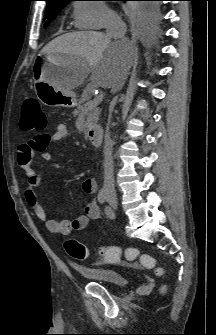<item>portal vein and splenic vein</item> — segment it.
<instances>
[{
  "label": "portal vein and splenic vein",
  "mask_w": 216,
  "mask_h": 335,
  "mask_svg": "<svg viewBox=\"0 0 216 335\" xmlns=\"http://www.w3.org/2000/svg\"><path fill=\"white\" fill-rule=\"evenodd\" d=\"M103 100V94H98L94 97V99L90 102L89 107L92 108L98 105Z\"/></svg>",
  "instance_id": "1"
}]
</instances>
